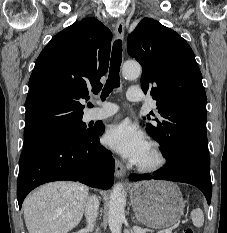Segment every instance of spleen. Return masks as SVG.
Listing matches in <instances>:
<instances>
[{
	"label": "spleen",
	"instance_id": "1",
	"mask_svg": "<svg viewBox=\"0 0 227 233\" xmlns=\"http://www.w3.org/2000/svg\"><path fill=\"white\" fill-rule=\"evenodd\" d=\"M191 218L194 226L200 228L204 223V214L200 208H197L191 212Z\"/></svg>",
	"mask_w": 227,
	"mask_h": 233
}]
</instances>
